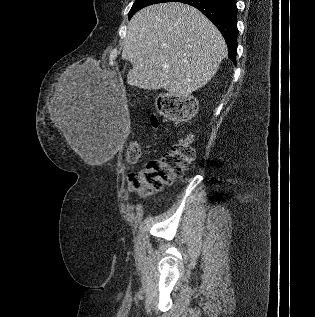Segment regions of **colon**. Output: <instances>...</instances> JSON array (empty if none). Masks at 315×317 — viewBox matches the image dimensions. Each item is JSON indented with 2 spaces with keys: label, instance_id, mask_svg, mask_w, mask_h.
<instances>
[{
  "label": "colon",
  "instance_id": "1",
  "mask_svg": "<svg viewBox=\"0 0 315 317\" xmlns=\"http://www.w3.org/2000/svg\"><path fill=\"white\" fill-rule=\"evenodd\" d=\"M160 113L172 120L189 119L195 111V102L191 97H177L164 95L158 100ZM155 131L160 128L158 118L151 117ZM127 159L135 163L141 157L140 146L132 143L127 148ZM195 151L192 147V135L182 133L178 142L161 158L148 161L141 169L129 175V186L132 191L141 194H151L159 191L164 185L182 176L194 159Z\"/></svg>",
  "mask_w": 315,
  "mask_h": 317
}]
</instances>
